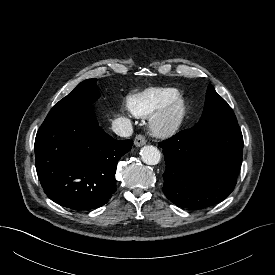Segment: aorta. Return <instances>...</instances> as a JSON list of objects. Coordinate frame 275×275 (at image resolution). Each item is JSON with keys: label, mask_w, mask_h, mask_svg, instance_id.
Here are the masks:
<instances>
[{"label": "aorta", "mask_w": 275, "mask_h": 275, "mask_svg": "<svg viewBox=\"0 0 275 275\" xmlns=\"http://www.w3.org/2000/svg\"><path fill=\"white\" fill-rule=\"evenodd\" d=\"M141 160L147 165H157L161 160L159 149L152 145L144 146L141 151Z\"/></svg>", "instance_id": "aorta-1"}]
</instances>
